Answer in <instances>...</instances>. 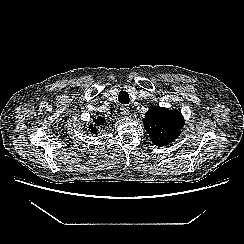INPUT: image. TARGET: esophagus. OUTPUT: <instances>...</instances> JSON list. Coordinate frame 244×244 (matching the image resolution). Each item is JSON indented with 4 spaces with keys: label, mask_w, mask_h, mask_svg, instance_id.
<instances>
[{
    "label": "esophagus",
    "mask_w": 244,
    "mask_h": 244,
    "mask_svg": "<svg viewBox=\"0 0 244 244\" xmlns=\"http://www.w3.org/2000/svg\"><path fill=\"white\" fill-rule=\"evenodd\" d=\"M120 110L123 116L129 115V107L127 105H122Z\"/></svg>",
    "instance_id": "1"
}]
</instances>
